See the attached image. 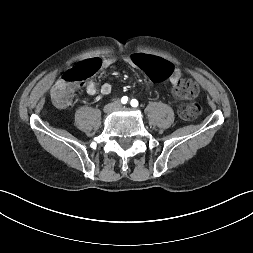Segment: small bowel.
Wrapping results in <instances>:
<instances>
[{
	"instance_id": "small-bowel-1",
	"label": "small bowel",
	"mask_w": 253,
	"mask_h": 253,
	"mask_svg": "<svg viewBox=\"0 0 253 253\" xmlns=\"http://www.w3.org/2000/svg\"><path fill=\"white\" fill-rule=\"evenodd\" d=\"M133 56L134 54H131L129 56H126L124 58V61L134 67V68H138L137 64L134 63L133 61ZM96 59H99L100 63H101V66L104 67V68H108L110 66H112L115 62H116V58L115 56L113 55H107L103 58H96ZM172 66V65H171ZM169 80V82L172 84V85H176L180 80H181V77H182V71L179 69V68H176V67H173L172 66V71L171 73L166 76ZM86 92L87 94L93 96V95H96L98 93V91L102 94V95H108L110 94L111 90H112V86L111 84L109 83H104L100 89L98 90V86L97 84L94 82V81H89L87 84H86Z\"/></svg>"
}]
</instances>
